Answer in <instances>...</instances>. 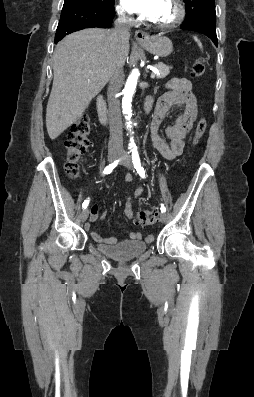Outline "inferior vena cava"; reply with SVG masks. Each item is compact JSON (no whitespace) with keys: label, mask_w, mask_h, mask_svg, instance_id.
Listing matches in <instances>:
<instances>
[{"label":"inferior vena cava","mask_w":254,"mask_h":397,"mask_svg":"<svg viewBox=\"0 0 254 397\" xmlns=\"http://www.w3.org/2000/svg\"><path fill=\"white\" fill-rule=\"evenodd\" d=\"M133 25L134 21L132 19H128L124 13L119 14L118 19L115 21V28L112 30V40L117 48L129 41V30ZM123 78V66L119 62L118 53H115V61L111 68L107 92L110 125L109 148L119 150L122 149L123 145V133L120 102L117 94L122 87Z\"/></svg>","instance_id":"602c4592"}]
</instances>
